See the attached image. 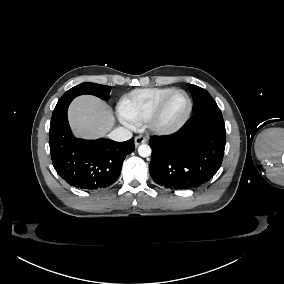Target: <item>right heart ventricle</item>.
<instances>
[{"mask_svg":"<svg viewBox=\"0 0 284 284\" xmlns=\"http://www.w3.org/2000/svg\"><path fill=\"white\" fill-rule=\"evenodd\" d=\"M174 87H148L131 90L121 96L118 111L130 125L144 122L158 101Z\"/></svg>","mask_w":284,"mask_h":284,"instance_id":"1","label":"right heart ventricle"}]
</instances>
